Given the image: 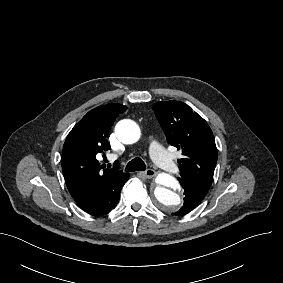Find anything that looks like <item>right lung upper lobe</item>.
Listing matches in <instances>:
<instances>
[{"label": "right lung upper lobe", "instance_id": "obj_1", "mask_svg": "<svg viewBox=\"0 0 283 283\" xmlns=\"http://www.w3.org/2000/svg\"><path fill=\"white\" fill-rule=\"evenodd\" d=\"M126 109L122 104L99 106L89 111L68 134L61 162L70 194L83 188L98 189L124 174L119 167L101 170L96 157L110 148L106 139L110 128Z\"/></svg>", "mask_w": 283, "mask_h": 283}]
</instances>
